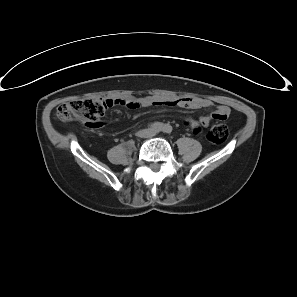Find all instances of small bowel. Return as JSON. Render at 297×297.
Masks as SVG:
<instances>
[{"instance_id": "c3829d8e", "label": "small bowel", "mask_w": 297, "mask_h": 297, "mask_svg": "<svg viewBox=\"0 0 297 297\" xmlns=\"http://www.w3.org/2000/svg\"><path fill=\"white\" fill-rule=\"evenodd\" d=\"M112 105L125 106L130 109H137L140 107H179L188 110H197L202 108L212 107L214 104L208 99L202 98H169V99H156L152 97L144 98H117L110 100ZM230 115V108L226 105H217L213 113L202 116L198 121L189 119L187 126L195 133H198L202 127H207L212 120L224 121ZM84 128L90 131H101L108 128L106 120L97 121L96 119H87L84 123Z\"/></svg>"}]
</instances>
